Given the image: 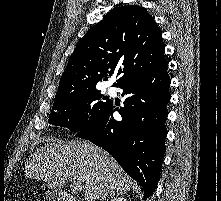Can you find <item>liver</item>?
I'll list each match as a JSON object with an SVG mask.
<instances>
[{"label":"liver","mask_w":221,"mask_h":201,"mask_svg":"<svg viewBox=\"0 0 221 201\" xmlns=\"http://www.w3.org/2000/svg\"><path fill=\"white\" fill-rule=\"evenodd\" d=\"M25 174L54 188L79 180L87 201L125 194L135 186L112 156L84 140L63 143L47 139L26 161Z\"/></svg>","instance_id":"6515ba94"}]
</instances>
